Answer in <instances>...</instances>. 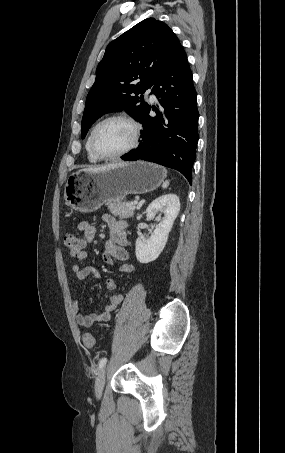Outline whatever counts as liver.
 I'll use <instances>...</instances> for the list:
<instances>
[{"label": "liver", "mask_w": 285, "mask_h": 453, "mask_svg": "<svg viewBox=\"0 0 285 453\" xmlns=\"http://www.w3.org/2000/svg\"><path fill=\"white\" fill-rule=\"evenodd\" d=\"M114 164H110V165H107V166H102V167H89V168H84L82 171H87V172H97V171H100V170H104L106 168H109L111 166H113Z\"/></svg>", "instance_id": "6515ba94"}]
</instances>
